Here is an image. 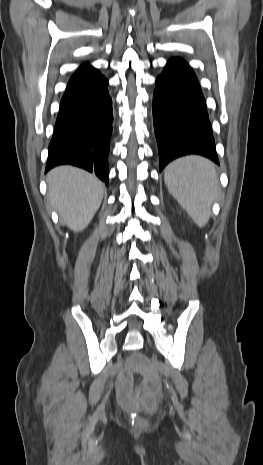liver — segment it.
Here are the masks:
<instances>
[{
	"label": "liver",
	"mask_w": 263,
	"mask_h": 465,
	"mask_svg": "<svg viewBox=\"0 0 263 465\" xmlns=\"http://www.w3.org/2000/svg\"><path fill=\"white\" fill-rule=\"evenodd\" d=\"M48 198L62 223L74 232L84 230L100 207L104 185L95 176L72 166H59L47 174Z\"/></svg>",
	"instance_id": "6515ba94"
}]
</instances>
